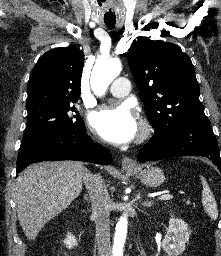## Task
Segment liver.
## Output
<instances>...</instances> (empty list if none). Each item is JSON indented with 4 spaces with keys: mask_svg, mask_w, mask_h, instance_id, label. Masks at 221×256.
I'll list each match as a JSON object with an SVG mask.
<instances>
[{
    "mask_svg": "<svg viewBox=\"0 0 221 256\" xmlns=\"http://www.w3.org/2000/svg\"><path fill=\"white\" fill-rule=\"evenodd\" d=\"M88 173L83 163L55 161L33 164L15 182V202L20 225L34 240L44 225L79 196Z\"/></svg>",
    "mask_w": 221,
    "mask_h": 256,
    "instance_id": "obj_1",
    "label": "liver"
}]
</instances>
